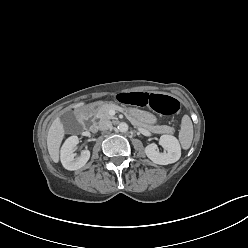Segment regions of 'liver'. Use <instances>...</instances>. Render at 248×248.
<instances>
[{
  "mask_svg": "<svg viewBox=\"0 0 248 248\" xmlns=\"http://www.w3.org/2000/svg\"><path fill=\"white\" fill-rule=\"evenodd\" d=\"M85 103L81 102L73 106V108L82 107ZM65 135V130L61 119L57 117L52 122L48 134H47V148L50 154L51 159L58 163L59 161V149L62 143V140Z\"/></svg>",
  "mask_w": 248,
  "mask_h": 248,
  "instance_id": "6515ba94",
  "label": "liver"
}]
</instances>
